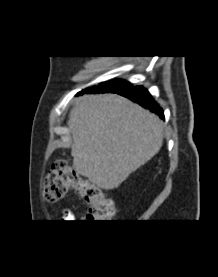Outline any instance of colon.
I'll use <instances>...</instances> for the list:
<instances>
[{"instance_id":"1","label":"colon","mask_w":218,"mask_h":277,"mask_svg":"<svg viewBox=\"0 0 218 277\" xmlns=\"http://www.w3.org/2000/svg\"><path fill=\"white\" fill-rule=\"evenodd\" d=\"M69 188L76 190L88 205V222H109L115 217L114 201L105 196L102 189L83 178L67 161L54 162L44 178L45 199L57 202Z\"/></svg>"}]
</instances>
